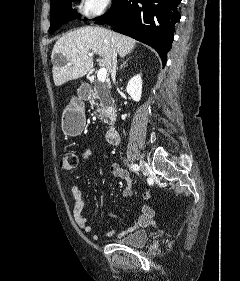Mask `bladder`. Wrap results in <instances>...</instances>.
I'll list each match as a JSON object with an SVG mask.
<instances>
[{"label": "bladder", "mask_w": 240, "mask_h": 281, "mask_svg": "<svg viewBox=\"0 0 240 281\" xmlns=\"http://www.w3.org/2000/svg\"><path fill=\"white\" fill-rule=\"evenodd\" d=\"M148 238L149 234L146 230H137L118 239V243L127 246H142Z\"/></svg>", "instance_id": "1"}]
</instances>
